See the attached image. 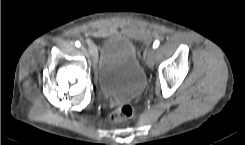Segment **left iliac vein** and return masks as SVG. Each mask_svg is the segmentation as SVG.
I'll return each mask as SVG.
<instances>
[{
  "label": "left iliac vein",
  "instance_id": "obj_1",
  "mask_svg": "<svg viewBox=\"0 0 245 145\" xmlns=\"http://www.w3.org/2000/svg\"><path fill=\"white\" fill-rule=\"evenodd\" d=\"M154 60H155V55H154V50L148 49L146 52V62L148 67L152 68L154 65Z\"/></svg>",
  "mask_w": 245,
  "mask_h": 145
}]
</instances>
